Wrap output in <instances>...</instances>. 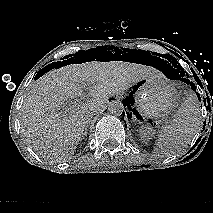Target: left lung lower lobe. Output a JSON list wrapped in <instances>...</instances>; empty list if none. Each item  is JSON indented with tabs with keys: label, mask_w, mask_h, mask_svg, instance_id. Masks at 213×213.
<instances>
[{
	"label": "left lung lower lobe",
	"mask_w": 213,
	"mask_h": 213,
	"mask_svg": "<svg viewBox=\"0 0 213 213\" xmlns=\"http://www.w3.org/2000/svg\"><path fill=\"white\" fill-rule=\"evenodd\" d=\"M191 88H192V90H194L196 92V87H195L194 83H192V82H191ZM196 94H197V92H196ZM197 97H198V99H200L199 94H197ZM125 103H126V101H125ZM125 103H123V104H125ZM124 107H125V105H124Z\"/></svg>",
	"instance_id": "obj_1"
}]
</instances>
